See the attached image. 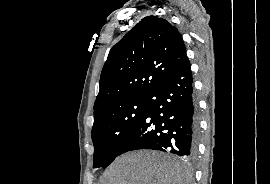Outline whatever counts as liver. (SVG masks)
I'll return each instance as SVG.
<instances>
[{"instance_id":"1","label":"liver","mask_w":270,"mask_h":184,"mask_svg":"<svg viewBox=\"0 0 270 184\" xmlns=\"http://www.w3.org/2000/svg\"><path fill=\"white\" fill-rule=\"evenodd\" d=\"M188 167L154 151L123 154L103 173L100 184H189Z\"/></svg>"}]
</instances>
